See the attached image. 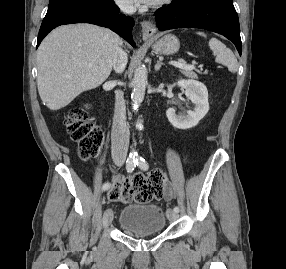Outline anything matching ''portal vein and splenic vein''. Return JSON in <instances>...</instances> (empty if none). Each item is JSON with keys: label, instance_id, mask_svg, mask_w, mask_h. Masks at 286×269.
I'll use <instances>...</instances> for the list:
<instances>
[{"label": "portal vein and splenic vein", "instance_id": "18ae733b", "mask_svg": "<svg viewBox=\"0 0 286 269\" xmlns=\"http://www.w3.org/2000/svg\"><path fill=\"white\" fill-rule=\"evenodd\" d=\"M170 64L175 66V67H178V68H181V69H185V70H193V69H195L194 65L186 64L184 62L171 61Z\"/></svg>", "mask_w": 286, "mask_h": 269}]
</instances>
